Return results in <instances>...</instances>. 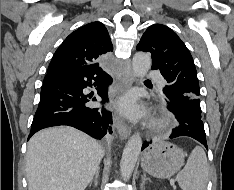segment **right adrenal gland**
<instances>
[{
  "instance_id": "1",
  "label": "right adrenal gland",
  "mask_w": 234,
  "mask_h": 190,
  "mask_svg": "<svg viewBox=\"0 0 234 190\" xmlns=\"http://www.w3.org/2000/svg\"><path fill=\"white\" fill-rule=\"evenodd\" d=\"M98 177H99V169L95 173L94 179L89 183V187H91L92 183L94 182L95 186L98 185Z\"/></svg>"
}]
</instances>
